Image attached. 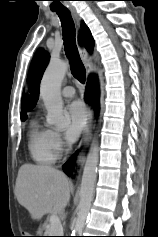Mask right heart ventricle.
<instances>
[{
  "mask_svg": "<svg viewBox=\"0 0 158 237\" xmlns=\"http://www.w3.org/2000/svg\"><path fill=\"white\" fill-rule=\"evenodd\" d=\"M52 131L42 125L37 120H33L29 126L28 149L32 159L42 165L53 164L57 158V153L53 149Z\"/></svg>",
  "mask_w": 158,
  "mask_h": 237,
  "instance_id": "right-heart-ventricle-1",
  "label": "right heart ventricle"
}]
</instances>
